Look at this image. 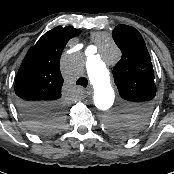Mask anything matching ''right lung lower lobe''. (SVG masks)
I'll return each instance as SVG.
<instances>
[{
	"label": "right lung lower lobe",
	"instance_id": "98d812e1",
	"mask_svg": "<svg viewBox=\"0 0 174 174\" xmlns=\"http://www.w3.org/2000/svg\"><path fill=\"white\" fill-rule=\"evenodd\" d=\"M62 104L60 102L56 104H46L41 102H28L23 100H17V107L21 116L27 121V119L33 117L36 114L59 110Z\"/></svg>",
	"mask_w": 174,
	"mask_h": 174
}]
</instances>
